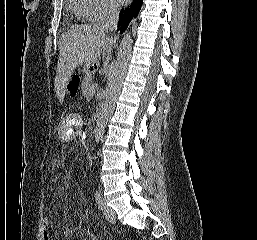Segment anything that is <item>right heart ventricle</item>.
Listing matches in <instances>:
<instances>
[{
    "label": "right heart ventricle",
    "instance_id": "obj_1",
    "mask_svg": "<svg viewBox=\"0 0 257 240\" xmlns=\"http://www.w3.org/2000/svg\"><path fill=\"white\" fill-rule=\"evenodd\" d=\"M93 0H68L67 6L70 12L80 21L91 19Z\"/></svg>",
    "mask_w": 257,
    "mask_h": 240
}]
</instances>
